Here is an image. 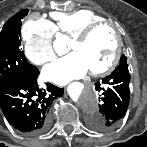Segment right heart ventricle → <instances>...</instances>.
I'll list each match as a JSON object with an SVG mask.
<instances>
[{"mask_svg":"<svg viewBox=\"0 0 147 147\" xmlns=\"http://www.w3.org/2000/svg\"><path fill=\"white\" fill-rule=\"evenodd\" d=\"M52 17L56 21V29L70 38H73L89 25L104 21L102 16L90 9L54 12L52 13Z\"/></svg>","mask_w":147,"mask_h":147,"instance_id":"obj_1","label":"right heart ventricle"}]
</instances>
